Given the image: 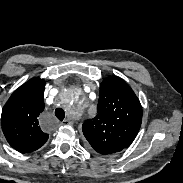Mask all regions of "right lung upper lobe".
<instances>
[{
  "label": "right lung upper lobe",
  "instance_id": "cb5924a9",
  "mask_svg": "<svg viewBox=\"0 0 183 183\" xmlns=\"http://www.w3.org/2000/svg\"><path fill=\"white\" fill-rule=\"evenodd\" d=\"M44 88V80L32 78L20 86L3 107V133L8 143L19 152L35 151L48 139L38 121L44 110Z\"/></svg>",
  "mask_w": 183,
  "mask_h": 183
}]
</instances>
